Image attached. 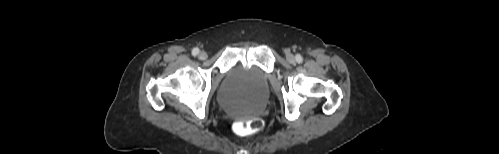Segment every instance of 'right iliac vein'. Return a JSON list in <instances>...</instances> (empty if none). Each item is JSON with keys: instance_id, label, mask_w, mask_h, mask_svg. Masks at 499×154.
Returning <instances> with one entry per match:
<instances>
[{"instance_id": "1", "label": "right iliac vein", "mask_w": 499, "mask_h": 154, "mask_svg": "<svg viewBox=\"0 0 499 154\" xmlns=\"http://www.w3.org/2000/svg\"><path fill=\"white\" fill-rule=\"evenodd\" d=\"M199 58L204 60L207 58V53L205 51H201L200 54H199Z\"/></svg>"}]
</instances>
